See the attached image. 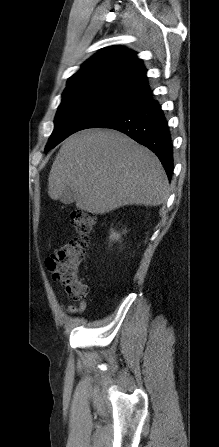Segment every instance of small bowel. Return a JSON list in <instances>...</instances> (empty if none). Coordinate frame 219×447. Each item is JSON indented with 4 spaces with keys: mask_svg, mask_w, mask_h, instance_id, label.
Returning <instances> with one entry per match:
<instances>
[{
    "mask_svg": "<svg viewBox=\"0 0 219 447\" xmlns=\"http://www.w3.org/2000/svg\"><path fill=\"white\" fill-rule=\"evenodd\" d=\"M87 307V302L83 301V302H73L67 306H62V308L71 314H79L82 313L83 311H85Z\"/></svg>",
    "mask_w": 219,
    "mask_h": 447,
    "instance_id": "small-bowel-1",
    "label": "small bowel"
}]
</instances>
